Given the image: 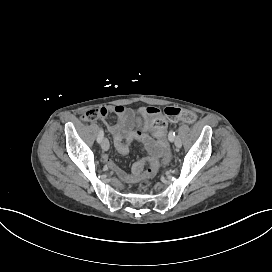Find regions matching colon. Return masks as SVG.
<instances>
[{
    "label": "colon",
    "instance_id": "1",
    "mask_svg": "<svg viewBox=\"0 0 272 272\" xmlns=\"http://www.w3.org/2000/svg\"><path fill=\"white\" fill-rule=\"evenodd\" d=\"M108 110L105 107L99 109H92L85 113L83 119L86 121H93L98 116H106ZM145 119L152 123V127L155 129L153 132V137L158 145H160V150L162 153L167 154L170 152L171 147L166 142L169 141L171 137V132L169 130L170 122H177L179 120L184 122H194L197 119V112L195 110H181L178 106H149L145 110ZM170 121V122H169ZM157 172L155 166L150 165L145 171V175L141 178L140 188L142 191L147 192L151 188V183Z\"/></svg>",
    "mask_w": 272,
    "mask_h": 272
}]
</instances>
